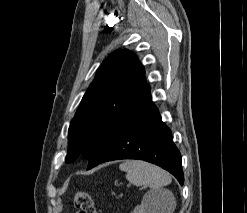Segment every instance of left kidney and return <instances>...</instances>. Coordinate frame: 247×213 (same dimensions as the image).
Returning <instances> with one entry per match:
<instances>
[{
	"instance_id": "1",
	"label": "left kidney",
	"mask_w": 247,
	"mask_h": 213,
	"mask_svg": "<svg viewBox=\"0 0 247 213\" xmlns=\"http://www.w3.org/2000/svg\"><path fill=\"white\" fill-rule=\"evenodd\" d=\"M131 213H159L152 193L145 194L141 204L136 206Z\"/></svg>"
}]
</instances>
